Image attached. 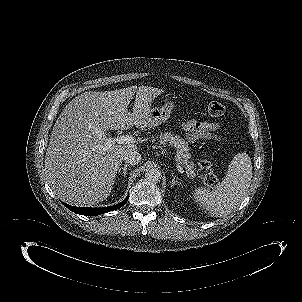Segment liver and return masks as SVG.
Masks as SVG:
<instances>
[{
	"label": "liver",
	"instance_id": "obj_1",
	"mask_svg": "<svg viewBox=\"0 0 302 302\" xmlns=\"http://www.w3.org/2000/svg\"><path fill=\"white\" fill-rule=\"evenodd\" d=\"M134 86L113 91H89L70 101L56 120L45 156V169L53 191L75 206L104 201L113 188L126 151L134 143L105 149L108 130H145L152 96ZM153 96L162 92L154 88ZM134 94L133 112L128 105Z\"/></svg>",
	"mask_w": 302,
	"mask_h": 302
}]
</instances>
